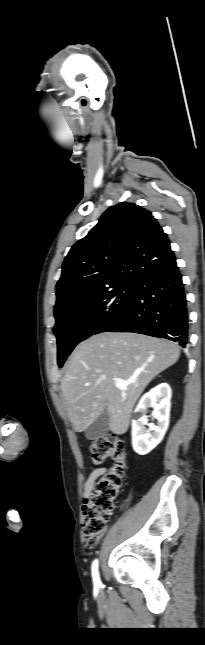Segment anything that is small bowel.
<instances>
[{"instance_id":"small-bowel-1","label":"small bowel","mask_w":205,"mask_h":645,"mask_svg":"<svg viewBox=\"0 0 205 645\" xmlns=\"http://www.w3.org/2000/svg\"><path fill=\"white\" fill-rule=\"evenodd\" d=\"M106 473V468L94 467L92 468L87 480L84 483V498H88L93 491L96 480Z\"/></svg>"}]
</instances>
